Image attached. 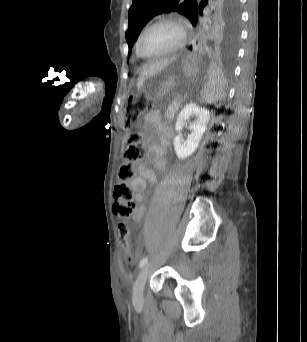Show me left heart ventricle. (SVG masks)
Masks as SVG:
<instances>
[{
  "label": "left heart ventricle",
  "mask_w": 307,
  "mask_h": 342,
  "mask_svg": "<svg viewBox=\"0 0 307 342\" xmlns=\"http://www.w3.org/2000/svg\"><path fill=\"white\" fill-rule=\"evenodd\" d=\"M178 39L179 32L173 24L159 22L145 33L141 49L146 56H156L172 47Z\"/></svg>",
  "instance_id": "1"
}]
</instances>
